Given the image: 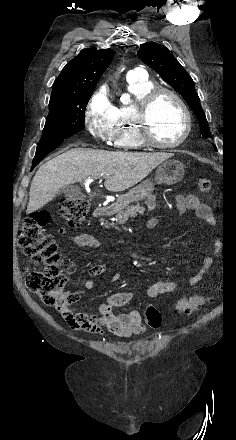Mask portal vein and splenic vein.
Returning <instances> with one entry per match:
<instances>
[{
    "instance_id": "18ae733b",
    "label": "portal vein and splenic vein",
    "mask_w": 236,
    "mask_h": 440,
    "mask_svg": "<svg viewBox=\"0 0 236 440\" xmlns=\"http://www.w3.org/2000/svg\"><path fill=\"white\" fill-rule=\"evenodd\" d=\"M93 181H94L93 178L87 180V182H93Z\"/></svg>"
}]
</instances>
